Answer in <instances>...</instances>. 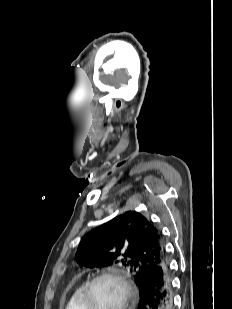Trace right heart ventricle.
<instances>
[{
  "mask_svg": "<svg viewBox=\"0 0 232 309\" xmlns=\"http://www.w3.org/2000/svg\"><path fill=\"white\" fill-rule=\"evenodd\" d=\"M86 283H81L72 292L65 309H84L82 295Z\"/></svg>",
  "mask_w": 232,
  "mask_h": 309,
  "instance_id": "right-heart-ventricle-1",
  "label": "right heart ventricle"
}]
</instances>
